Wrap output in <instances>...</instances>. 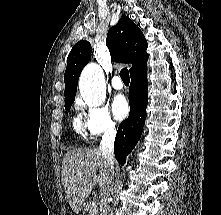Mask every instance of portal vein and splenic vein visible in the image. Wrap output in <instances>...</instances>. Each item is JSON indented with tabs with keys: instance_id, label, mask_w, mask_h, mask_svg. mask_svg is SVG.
I'll return each instance as SVG.
<instances>
[{
	"instance_id": "18ae733b",
	"label": "portal vein and splenic vein",
	"mask_w": 221,
	"mask_h": 215,
	"mask_svg": "<svg viewBox=\"0 0 221 215\" xmlns=\"http://www.w3.org/2000/svg\"><path fill=\"white\" fill-rule=\"evenodd\" d=\"M97 211V206H95L94 204L90 207V209H89V213L90 214H92V213H94V212H96Z\"/></svg>"
}]
</instances>
